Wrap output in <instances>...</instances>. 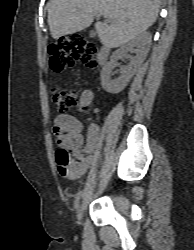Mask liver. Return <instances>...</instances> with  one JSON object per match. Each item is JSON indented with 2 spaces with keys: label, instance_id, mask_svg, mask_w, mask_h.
<instances>
[{
  "label": "liver",
  "instance_id": "6515ba94",
  "mask_svg": "<svg viewBox=\"0 0 194 250\" xmlns=\"http://www.w3.org/2000/svg\"><path fill=\"white\" fill-rule=\"evenodd\" d=\"M160 0H50L48 24L54 39L82 31L96 13L110 20L95 23L100 42L108 48L126 44L157 19Z\"/></svg>",
  "mask_w": 194,
  "mask_h": 250
}]
</instances>
